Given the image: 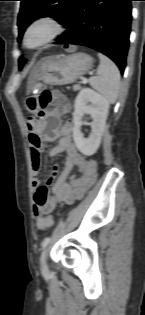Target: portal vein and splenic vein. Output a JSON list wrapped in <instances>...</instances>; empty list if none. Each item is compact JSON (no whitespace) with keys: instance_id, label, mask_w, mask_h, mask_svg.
<instances>
[{"instance_id":"18ae733b","label":"portal vein and splenic vein","mask_w":145,"mask_h":315,"mask_svg":"<svg viewBox=\"0 0 145 315\" xmlns=\"http://www.w3.org/2000/svg\"><path fill=\"white\" fill-rule=\"evenodd\" d=\"M91 75H92V73H91ZM87 81H88L87 78H82L81 83L85 84V83H87Z\"/></svg>"}]
</instances>
